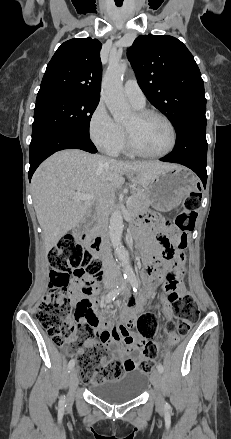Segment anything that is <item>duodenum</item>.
<instances>
[{
	"label": "duodenum",
	"instance_id": "1",
	"mask_svg": "<svg viewBox=\"0 0 231 439\" xmlns=\"http://www.w3.org/2000/svg\"><path fill=\"white\" fill-rule=\"evenodd\" d=\"M77 231L80 232L81 229L78 228ZM141 242L144 243L142 238H141ZM89 247H90V249L93 252H95L96 254H99V252L101 250V236L99 234H96L93 237V239L89 243ZM143 273H148V263H147V260L145 261L144 266H143Z\"/></svg>",
	"mask_w": 231,
	"mask_h": 439
}]
</instances>
